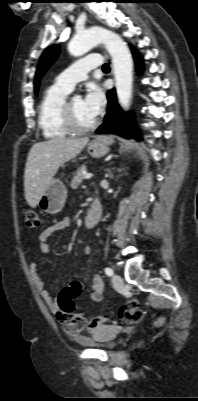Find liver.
<instances>
[{"mask_svg":"<svg viewBox=\"0 0 198 401\" xmlns=\"http://www.w3.org/2000/svg\"><path fill=\"white\" fill-rule=\"evenodd\" d=\"M88 142V137H57L31 147L24 172L25 198L29 206L38 205L59 167L76 157Z\"/></svg>","mask_w":198,"mask_h":401,"instance_id":"obj_1","label":"liver"}]
</instances>
